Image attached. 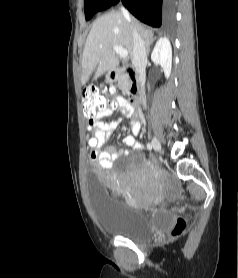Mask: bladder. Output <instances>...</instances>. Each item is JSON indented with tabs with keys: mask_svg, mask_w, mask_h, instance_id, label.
I'll return each instance as SVG.
<instances>
[{
	"mask_svg": "<svg viewBox=\"0 0 238 278\" xmlns=\"http://www.w3.org/2000/svg\"><path fill=\"white\" fill-rule=\"evenodd\" d=\"M87 180H98V175H87ZM99 181H87L95 217L102 230L132 241H145L153 235L166 231L174 217L168 211L148 213L124 204L105 194V186Z\"/></svg>",
	"mask_w": 238,
	"mask_h": 278,
	"instance_id": "31cf9c89",
	"label": "bladder"
}]
</instances>
